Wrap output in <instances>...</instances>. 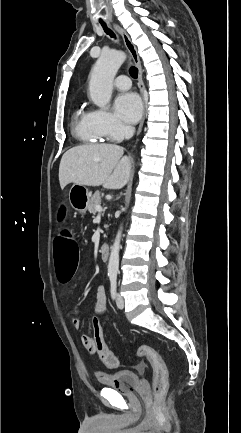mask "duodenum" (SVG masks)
I'll list each match as a JSON object with an SVG mask.
<instances>
[{"label":"duodenum","instance_id":"obj_1","mask_svg":"<svg viewBox=\"0 0 241 433\" xmlns=\"http://www.w3.org/2000/svg\"><path fill=\"white\" fill-rule=\"evenodd\" d=\"M110 253V245L108 243H103L100 245V257L103 261H107Z\"/></svg>","mask_w":241,"mask_h":433}]
</instances>
